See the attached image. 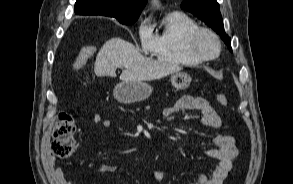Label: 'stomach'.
Wrapping results in <instances>:
<instances>
[{
    "label": "stomach",
    "instance_id": "stomach-1",
    "mask_svg": "<svg viewBox=\"0 0 293 184\" xmlns=\"http://www.w3.org/2000/svg\"><path fill=\"white\" fill-rule=\"evenodd\" d=\"M191 81L190 75L185 72H176L171 75V83L176 90L186 89ZM151 93L152 87L144 81H123L113 90L114 97L124 104L143 101L150 97Z\"/></svg>",
    "mask_w": 293,
    "mask_h": 184
}]
</instances>
